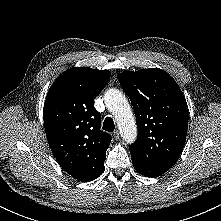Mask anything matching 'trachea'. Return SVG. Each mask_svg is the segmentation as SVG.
Here are the masks:
<instances>
[{"label":"trachea","mask_w":221,"mask_h":221,"mask_svg":"<svg viewBox=\"0 0 221 221\" xmlns=\"http://www.w3.org/2000/svg\"><path fill=\"white\" fill-rule=\"evenodd\" d=\"M115 125L112 117H106L104 122H103V130L107 132H112L114 131Z\"/></svg>","instance_id":"3493384b"}]
</instances>
